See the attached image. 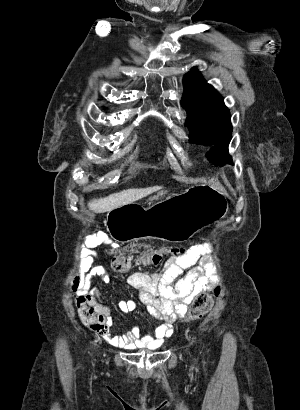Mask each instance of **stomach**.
<instances>
[{"label":"stomach","mask_w":300,"mask_h":410,"mask_svg":"<svg viewBox=\"0 0 300 410\" xmlns=\"http://www.w3.org/2000/svg\"><path fill=\"white\" fill-rule=\"evenodd\" d=\"M227 211L228 203L223 192L212 186L199 185L148 208L136 203L119 206L108 212L106 225L117 241L154 238L184 242L224 218Z\"/></svg>","instance_id":"0dacf381"}]
</instances>
